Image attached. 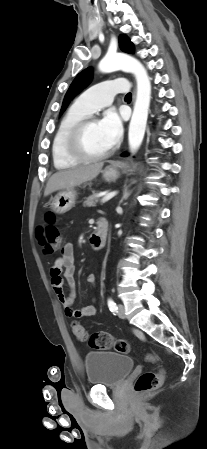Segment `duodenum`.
<instances>
[{
  "label": "duodenum",
  "instance_id": "410a0bca",
  "mask_svg": "<svg viewBox=\"0 0 207 449\" xmlns=\"http://www.w3.org/2000/svg\"><path fill=\"white\" fill-rule=\"evenodd\" d=\"M108 234V222L105 219L97 221L96 229L90 236V243L94 250L101 251L105 245Z\"/></svg>",
  "mask_w": 207,
  "mask_h": 449
}]
</instances>
